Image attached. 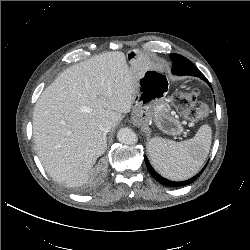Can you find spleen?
<instances>
[{"label":"spleen","instance_id":"obj_1","mask_svg":"<svg viewBox=\"0 0 250 250\" xmlns=\"http://www.w3.org/2000/svg\"><path fill=\"white\" fill-rule=\"evenodd\" d=\"M211 139L212 131L207 124L202 125L193 138L181 142L154 137L148 145L149 158L162 176L174 181L186 180L202 167Z\"/></svg>","mask_w":250,"mask_h":250}]
</instances>
